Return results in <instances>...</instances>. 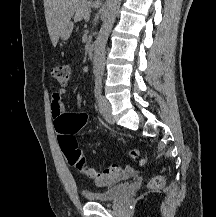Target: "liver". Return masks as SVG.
<instances>
[{
    "label": "liver",
    "instance_id": "1",
    "mask_svg": "<svg viewBox=\"0 0 216 217\" xmlns=\"http://www.w3.org/2000/svg\"><path fill=\"white\" fill-rule=\"evenodd\" d=\"M85 2L86 0H44L46 24L54 47L73 14Z\"/></svg>",
    "mask_w": 216,
    "mask_h": 217
}]
</instances>
